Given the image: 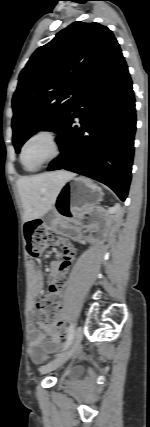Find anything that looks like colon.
<instances>
[{"instance_id":"1","label":"colon","mask_w":150,"mask_h":427,"mask_svg":"<svg viewBox=\"0 0 150 427\" xmlns=\"http://www.w3.org/2000/svg\"><path fill=\"white\" fill-rule=\"evenodd\" d=\"M25 237L27 240V256L29 259H37L41 253L53 242L55 236L44 227L40 220H32L25 225ZM73 255V251L68 248L65 255ZM66 284L65 276L60 277L54 285L49 288V293L39 301L37 309L41 323L53 330L59 331L62 328L60 290Z\"/></svg>"}]
</instances>
